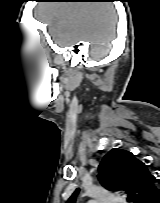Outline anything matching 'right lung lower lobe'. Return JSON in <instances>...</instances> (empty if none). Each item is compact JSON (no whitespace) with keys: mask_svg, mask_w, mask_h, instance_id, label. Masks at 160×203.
I'll list each match as a JSON object with an SVG mask.
<instances>
[{"mask_svg":"<svg viewBox=\"0 0 160 203\" xmlns=\"http://www.w3.org/2000/svg\"><path fill=\"white\" fill-rule=\"evenodd\" d=\"M145 203H160V190L154 194L151 198L146 200Z\"/></svg>","mask_w":160,"mask_h":203,"instance_id":"1","label":"right lung lower lobe"}]
</instances>
